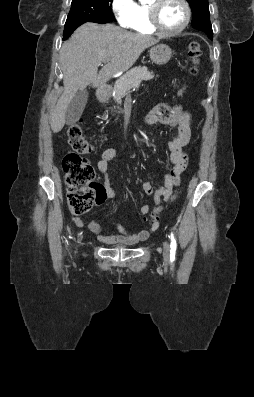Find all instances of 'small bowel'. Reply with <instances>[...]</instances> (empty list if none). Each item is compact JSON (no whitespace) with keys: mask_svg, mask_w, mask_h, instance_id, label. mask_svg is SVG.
Listing matches in <instances>:
<instances>
[{"mask_svg":"<svg viewBox=\"0 0 254 397\" xmlns=\"http://www.w3.org/2000/svg\"><path fill=\"white\" fill-rule=\"evenodd\" d=\"M156 123L173 129L174 135L168 142L167 146L170 152L167 172L164 176L163 183L158 188L148 182H144L143 189L148 195H152L154 203L158 205L161 200H167L173 189L180 183V176L188 166V156L184 148L188 145L191 139V116L189 112L183 109L178 104L170 106L166 103L156 105L145 117L144 124L151 126ZM115 148L106 149L97 163L98 171L102 176V183L99 184L100 197L96 205L103 204L107 199H114L116 193L112 188L109 163L116 156ZM149 211L148 205H142L139 208L141 214H146ZM74 223L82 227L84 222L82 219L76 217ZM117 233H108L97 221H90L87 228L95 234L96 238L105 244H125L132 245L144 241L150 237L154 230L159 226L158 221H155L149 229H145L136 233L129 232L124 226L117 222H113Z\"/></svg>","mask_w":254,"mask_h":397,"instance_id":"obj_1","label":"small bowel"}]
</instances>
